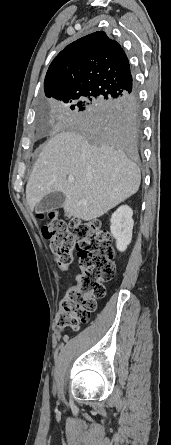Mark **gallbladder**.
Instances as JSON below:
<instances>
[{"label":"gallbladder","mask_w":171,"mask_h":445,"mask_svg":"<svg viewBox=\"0 0 171 445\" xmlns=\"http://www.w3.org/2000/svg\"><path fill=\"white\" fill-rule=\"evenodd\" d=\"M65 202V195L62 192H52L44 196L36 205V211L46 213L60 208Z\"/></svg>","instance_id":"bac80fb5"}]
</instances>
